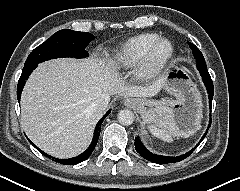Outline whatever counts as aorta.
Segmentation results:
<instances>
[{
	"label": "aorta",
	"mask_w": 240,
	"mask_h": 191,
	"mask_svg": "<svg viewBox=\"0 0 240 191\" xmlns=\"http://www.w3.org/2000/svg\"><path fill=\"white\" fill-rule=\"evenodd\" d=\"M118 122L122 125H131L134 122L135 116L131 110L123 109L118 113Z\"/></svg>",
	"instance_id": "obj_1"
}]
</instances>
